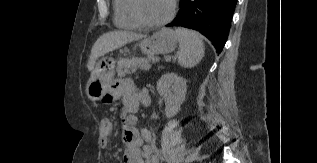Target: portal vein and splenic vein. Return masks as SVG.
Returning <instances> with one entry per match:
<instances>
[{"instance_id": "obj_1", "label": "portal vein and splenic vein", "mask_w": 317, "mask_h": 163, "mask_svg": "<svg viewBox=\"0 0 317 163\" xmlns=\"http://www.w3.org/2000/svg\"><path fill=\"white\" fill-rule=\"evenodd\" d=\"M150 67H145V69L147 70V69H149Z\"/></svg>"}]
</instances>
